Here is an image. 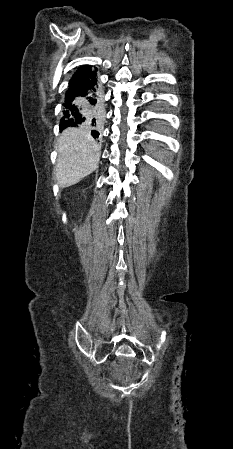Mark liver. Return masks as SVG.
I'll list each match as a JSON object with an SVG mask.
<instances>
[{"label": "liver", "mask_w": 233, "mask_h": 449, "mask_svg": "<svg viewBox=\"0 0 233 449\" xmlns=\"http://www.w3.org/2000/svg\"><path fill=\"white\" fill-rule=\"evenodd\" d=\"M100 146L83 129L70 127L61 134L54 178L61 187H69L92 173L100 159Z\"/></svg>", "instance_id": "liver-1"}]
</instances>
